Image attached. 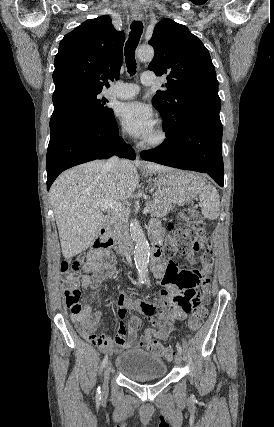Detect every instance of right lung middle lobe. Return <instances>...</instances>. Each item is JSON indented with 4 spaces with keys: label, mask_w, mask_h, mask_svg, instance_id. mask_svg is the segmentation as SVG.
Wrapping results in <instances>:
<instances>
[{
    "label": "right lung middle lobe",
    "mask_w": 274,
    "mask_h": 427,
    "mask_svg": "<svg viewBox=\"0 0 274 427\" xmlns=\"http://www.w3.org/2000/svg\"><path fill=\"white\" fill-rule=\"evenodd\" d=\"M95 94H69L54 103V111L50 120V133L65 122L76 119L100 121L111 115L113 110L105 104V98L99 99Z\"/></svg>",
    "instance_id": "1"
}]
</instances>
